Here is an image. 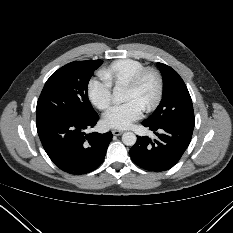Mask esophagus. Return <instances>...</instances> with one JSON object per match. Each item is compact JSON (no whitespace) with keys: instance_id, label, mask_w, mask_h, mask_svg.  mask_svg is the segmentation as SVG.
<instances>
[{"instance_id":"obj_1","label":"esophagus","mask_w":233,"mask_h":233,"mask_svg":"<svg viewBox=\"0 0 233 233\" xmlns=\"http://www.w3.org/2000/svg\"><path fill=\"white\" fill-rule=\"evenodd\" d=\"M112 134H113L114 136H120V135L123 134V131H121V130H112Z\"/></svg>"}]
</instances>
